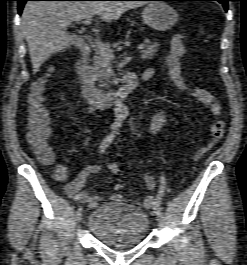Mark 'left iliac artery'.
<instances>
[{
  "instance_id": "44dca946",
  "label": "left iliac artery",
  "mask_w": 247,
  "mask_h": 265,
  "mask_svg": "<svg viewBox=\"0 0 247 265\" xmlns=\"http://www.w3.org/2000/svg\"><path fill=\"white\" fill-rule=\"evenodd\" d=\"M165 185H166V179L162 175L161 176V187H160L159 193H158V195L154 201V204H153V209L155 210V212H161L162 211V207L160 205H161V199H162V196H163V193L165 190Z\"/></svg>"
}]
</instances>
